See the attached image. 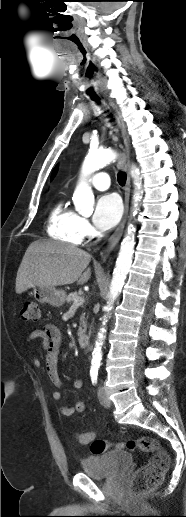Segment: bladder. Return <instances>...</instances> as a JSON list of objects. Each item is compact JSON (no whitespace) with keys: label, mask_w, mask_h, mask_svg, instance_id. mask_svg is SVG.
<instances>
[{"label":"bladder","mask_w":186,"mask_h":517,"mask_svg":"<svg viewBox=\"0 0 186 517\" xmlns=\"http://www.w3.org/2000/svg\"><path fill=\"white\" fill-rule=\"evenodd\" d=\"M133 457L123 450L109 451L84 459L81 463L84 474L95 479L120 476L132 463Z\"/></svg>","instance_id":"obj_1"}]
</instances>
